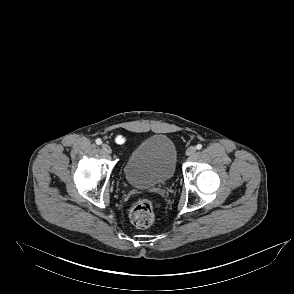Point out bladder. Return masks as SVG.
<instances>
[{
	"label": "bladder",
	"instance_id": "obj_1",
	"mask_svg": "<svg viewBox=\"0 0 294 294\" xmlns=\"http://www.w3.org/2000/svg\"><path fill=\"white\" fill-rule=\"evenodd\" d=\"M176 162L173 140L165 134H155L135 147L124 165L123 175L133 188H151L174 175Z\"/></svg>",
	"mask_w": 294,
	"mask_h": 294
}]
</instances>
